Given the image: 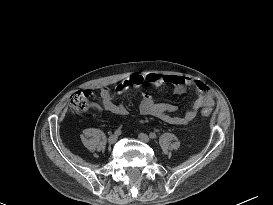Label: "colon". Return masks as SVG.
<instances>
[{
	"mask_svg": "<svg viewBox=\"0 0 273 205\" xmlns=\"http://www.w3.org/2000/svg\"><path fill=\"white\" fill-rule=\"evenodd\" d=\"M93 92L91 90H79L73 92L69 98L68 102L72 110L76 113L82 114L88 111L92 106ZM201 114L205 117L211 115V110L208 108H203Z\"/></svg>",
	"mask_w": 273,
	"mask_h": 205,
	"instance_id": "5ec220e1",
	"label": "colon"
}]
</instances>
